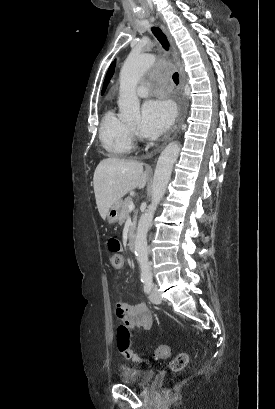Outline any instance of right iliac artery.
Wrapping results in <instances>:
<instances>
[{"label":"right iliac artery","mask_w":275,"mask_h":409,"mask_svg":"<svg viewBox=\"0 0 275 409\" xmlns=\"http://www.w3.org/2000/svg\"><path fill=\"white\" fill-rule=\"evenodd\" d=\"M148 278H142L141 281L144 283L145 281H147Z\"/></svg>","instance_id":"obj_1"}]
</instances>
